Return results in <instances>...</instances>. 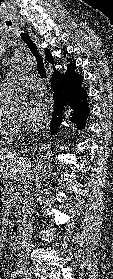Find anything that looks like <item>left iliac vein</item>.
<instances>
[{
	"mask_svg": "<svg viewBox=\"0 0 113 279\" xmlns=\"http://www.w3.org/2000/svg\"><path fill=\"white\" fill-rule=\"evenodd\" d=\"M25 279H31V274H30V273H27Z\"/></svg>",
	"mask_w": 113,
	"mask_h": 279,
	"instance_id": "obj_1",
	"label": "left iliac vein"
}]
</instances>
